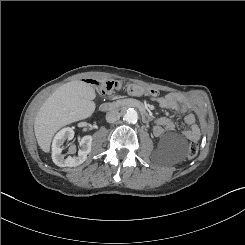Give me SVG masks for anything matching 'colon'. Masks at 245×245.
I'll use <instances>...</instances> for the list:
<instances>
[{
	"mask_svg": "<svg viewBox=\"0 0 245 245\" xmlns=\"http://www.w3.org/2000/svg\"><path fill=\"white\" fill-rule=\"evenodd\" d=\"M120 89V84L114 80H106L97 83V91L100 95H112L117 90ZM127 91L131 95L140 96V95H147L151 97H155L158 95V91L152 88H145L139 85H130L127 88ZM199 151V147L196 143H191L187 150V158L192 159L194 158Z\"/></svg>",
	"mask_w": 245,
	"mask_h": 245,
	"instance_id": "obj_1",
	"label": "colon"
}]
</instances>
